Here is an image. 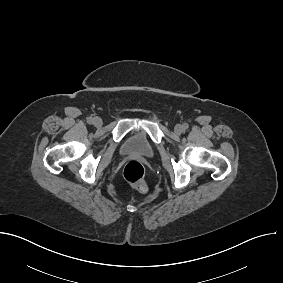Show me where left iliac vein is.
Here are the masks:
<instances>
[{
	"label": "left iliac vein",
	"mask_w": 283,
	"mask_h": 283,
	"mask_svg": "<svg viewBox=\"0 0 283 283\" xmlns=\"http://www.w3.org/2000/svg\"><path fill=\"white\" fill-rule=\"evenodd\" d=\"M174 131L176 134H181L183 132V127L179 124H177L175 127H174Z\"/></svg>",
	"instance_id": "4c4485c4"
}]
</instances>
